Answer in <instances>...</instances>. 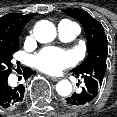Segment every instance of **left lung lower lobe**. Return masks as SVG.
Here are the masks:
<instances>
[{"label": "left lung lower lobe", "instance_id": "left-lung-lower-lobe-1", "mask_svg": "<svg viewBox=\"0 0 117 117\" xmlns=\"http://www.w3.org/2000/svg\"><path fill=\"white\" fill-rule=\"evenodd\" d=\"M74 75L79 77V75L75 73ZM82 78H84L85 82L82 91L80 93H74L73 95L66 97L62 101L65 107L71 109L83 108L93 103V101L96 99L100 88L98 82L91 77Z\"/></svg>", "mask_w": 117, "mask_h": 117}]
</instances>
